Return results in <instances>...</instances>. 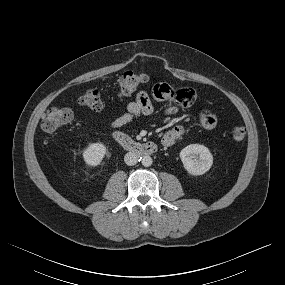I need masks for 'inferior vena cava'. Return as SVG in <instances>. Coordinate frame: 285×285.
<instances>
[{"label":"inferior vena cava","mask_w":285,"mask_h":285,"mask_svg":"<svg viewBox=\"0 0 285 285\" xmlns=\"http://www.w3.org/2000/svg\"><path fill=\"white\" fill-rule=\"evenodd\" d=\"M124 161L127 165H135L138 161V156L135 153L128 152L124 156Z\"/></svg>","instance_id":"602c4592"}]
</instances>
